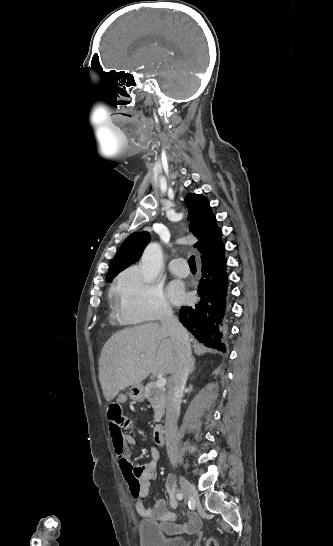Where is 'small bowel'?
I'll list each match as a JSON object with an SVG mask.
<instances>
[{
  "mask_svg": "<svg viewBox=\"0 0 333 546\" xmlns=\"http://www.w3.org/2000/svg\"><path fill=\"white\" fill-rule=\"evenodd\" d=\"M125 397L126 394L120 392L117 400H121L123 404L126 400ZM108 419L112 447L116 454L120 471L134 499L137 513L140 516L160 522L163 531L168 534L195 532L201 524L200 519L195 513L189 514V521L187 523H176L174 510L177 508V502L174 498L170 499L169 504L163 499H157L153 506L148 507L146 505L145 499L157 476L156 466L159 459V452L153 447L151 450L153 460L141 467H136L129 455V447L135 444L136 441L135 436L125 432L126 423L124 422V418Z\"/></svg>",
  "mask_w": 333,
  "mask_h": 546,
  "instance_id": "obj_1",
  "label": "small bowel"
}]
</instances>
